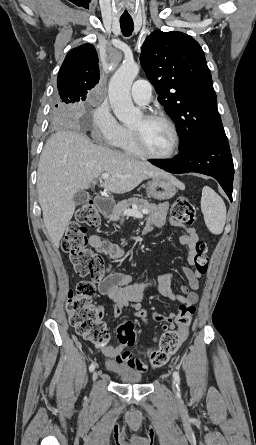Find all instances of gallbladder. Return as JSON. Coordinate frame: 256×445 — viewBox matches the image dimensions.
Masks as SVG:
<instances>
[{
  "instance_id": "bac80fb5",
  "label": "gallbladder",
  "mask_w": 256,
  "mask_h": 445,
  "mask_svg": "<svg viewBox=\"0 0 256 445\" xmlns=\"http://www.w3.org/2000/svg\"><path fill=\"white\" fill-rule=\"evenodd\" d=\"M90 199L89 194L86 191L80 190L74 195V202L76 205L86 203Z\"/></svg>"
}]
</instances>
